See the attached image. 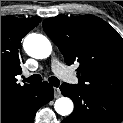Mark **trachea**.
I'll list each match as a JSON object with an SVG mask.
<instances>
[{
	"mask_svg": "<svg viewBox=\"0 0 123 123\" xmlns=\"http://www.w3.org/2000/svg\"><path fill=\"white\" fill-rule=\"evenodd\" d=\"M23 81L31 84H40L42 82V77L39 74H34L28 78L23 77ZM49 83L54 87L59 86V80L54 76L49 78Z\"/></svg>",
	"mask_w": 123,
	"mask_h": 123,
	"instance_id": "obj_1",
	"label": "trachea"
}]
</instances>
